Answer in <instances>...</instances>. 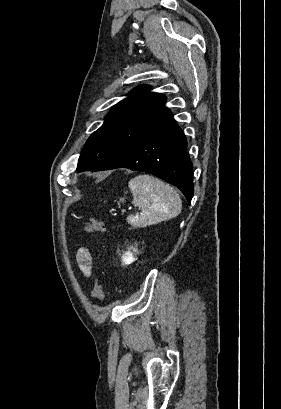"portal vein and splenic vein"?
<instances>
[{"instance_id":"18ae733b","label":"portal vein and splenic vein","mask_w":281,"mask_h":409,"mask_svg":"<svg viewBox=\"0 0 281 409\" xmlns=\"http://www.w3.org/2000/svg\"><path fill=\"white\" fill-rule=\"evenodd\" d=\"M120 213H121V214H127V213H128V210H127V209H121V210H120Z\"/></svg>"}]
</instances>
